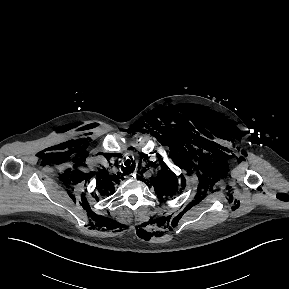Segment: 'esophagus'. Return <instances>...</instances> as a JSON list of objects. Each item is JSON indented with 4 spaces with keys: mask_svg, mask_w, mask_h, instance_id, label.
I'll return each instance as SVG.
<instances>
[{
    "mask_svg": "<svg viewBox=\"0 0 289 289\" xmlns=\"http://www.w3.org/2000/svg\"><path fill=\"white\" fill-rule=\"evenodd\" d=\"M128 177H129V178H133V177H134V174H130Z\"/></svg>",
    "mask_w": 289,
    "mask_h": 289,
    "instance_id": "esophagus-1",
    "label": "esophagus"
}]
</instances>
